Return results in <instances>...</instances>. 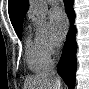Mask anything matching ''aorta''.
I'll list each match as a JSON object with an SVG mask.
<instances>
[{
    "instance_id": "762f6f07",
    "label": "aorta",
    "mask_w": 89,
    "mask_h": 89,
    "mask_svg": "<svg viewBox=\"0 0 89 89\" xmlns=\"http://www.w3.org/2000/svg\"><path fill=\"white\" fill-rule=\"evenodd\" d=\"M30 6L37 16L41 18L46 17L48 12V6L46 0H31Z\"/></svg>"
}]
</instances>
